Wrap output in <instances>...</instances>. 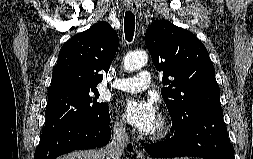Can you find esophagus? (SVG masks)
Wrapping results in <instances>:
<instances>
[{"label":"esophagus","instance_id":"1","mask_svg":"<svg viewBox=\"0 0 253 159\" xmlns=\"http://www.w3.org/2000/svg\"><path fill=\"white\" fill-rule=\"evenodd\" d=\"M127 7L133 12L136 13L138 11L139 4L136 0H128ZM137 159H146L145 155L142 151H137Z\"/></svg>","mask_w":253,"mask_h":159}]
</instances>
